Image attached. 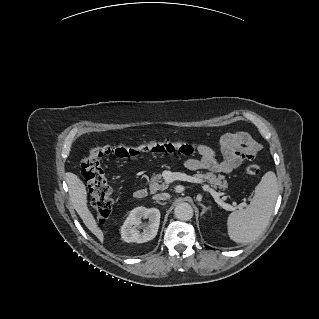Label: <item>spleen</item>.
<instances>
[{
	"mask_svg": "<svg viewBox=\"0 0 319 319\" xmlns=\"http://www.w3.org/2000/svg\"><path fill=\"white\" fill-rule=\"evenodd\" d=\"M279 192L273 171L266 172L255 187L254 196L247 208L232 212L227 219L230 239L249 243L259 237L268 226Z\"/></svg>",
	"mask_w": 319,
	"mask_h": 319,
	"instance_id": "3e777b00",
	"label": "spleen"
}]
</instances>
